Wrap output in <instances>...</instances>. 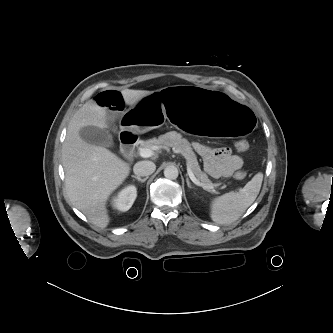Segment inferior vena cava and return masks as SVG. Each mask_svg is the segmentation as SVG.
<instances>
[{
  "label": "inferior vena cava",
  "instance_id": "1",
  "mask_svg": "<svg viewBox=\"0 0 333 333\" xmlns=\"http://www.w3.org/2000/svg\"><path fill=\"white\" fill-rule=\"evenodd\" d=\"M156 170V165L152 161L137 162L133 171L137 176H149Z\"/></svg>",
  "mask_w": 333,
  "mask_h": 333
}]
</instances>
